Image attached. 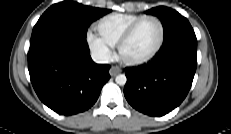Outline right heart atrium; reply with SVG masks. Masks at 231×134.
Segmentation results:
<instances>
[{
  "label": "right heart atrium",
  "mask_w": 231,
  "mask_h": 134,
  "mask_svg": "<svg viewBox=\"0 0 231 134\" xmlns=\"http://www.w3.org/2000/svg\"><path fill=\"white\" fill-rule=\"evenodd\" d=\"M87 46L99 63H107L113 58V47L106 42L98 33L88 30L86 33Z\"/></svg>",
  "instance_id": "1"
}]
</instances>
